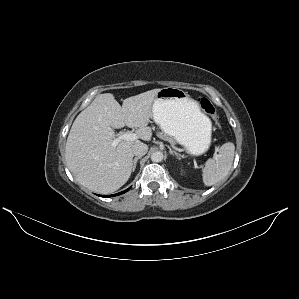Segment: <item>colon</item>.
Returning <instances> with one entry per match:
<instances>
[{
	"label": "colon",
	"instance_id": "obj_1",
	"mask_svg": "<svg viewBox=\"0 0 299 299\" xmlns=\"http://www.w3.org/2000/svg\"><path fill=\"white\" fill-rule=\"evenodd\" d=\"M197 102L201 109L215 122L218 121V115L214 105L205 97H197Z\"/></svg>",
	"mask_w": 299,
	"mask_h": 299
}]
</instances>
